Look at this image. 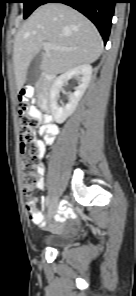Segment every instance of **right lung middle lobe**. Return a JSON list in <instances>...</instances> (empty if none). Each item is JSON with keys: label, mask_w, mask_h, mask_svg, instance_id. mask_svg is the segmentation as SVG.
<instances>
[{"label": "right lung middle lobe", "mask_w": 136, "mask_h": 296, "mask_svg": "<svg viewBox=\"0 0 136 296\" xmlns=\"http://www.w3.org/2000/svg\"><path fill=\"white\" fill-rule=\"evenodd\" d=\"M44 0H19L24 3V19L27 18Z\"/></svg>", "instance_id": "right-lung-middle-lobe-1"}]
</instances>
